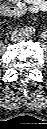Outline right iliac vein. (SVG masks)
I'll use <instances>...</instances> for the list:
<instances>
[{
	"label": "right iliac vein",
	"mask_w": 47,
	"mask_h": 129,
	"mask_svg": "<svg viewBox=\"0 0 47 129\" xmlns=\"http://www.w3.org/2000/svg\"><path fill=\"white\" fill-rule=\"evenodd\" d=\"M19 35H21V32L15 31V32L13 33L12 37H17V36H19Z\"/></svg>",
	"instance_id": "obj_1"
}]
</instances>
